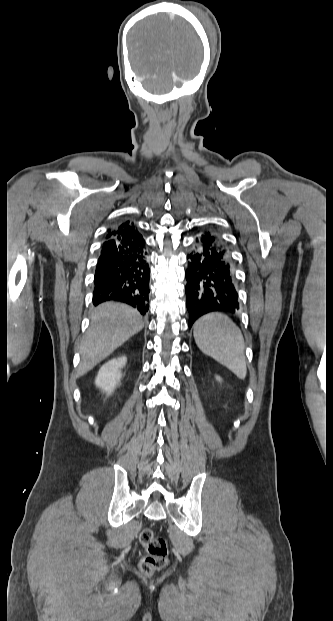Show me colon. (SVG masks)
Returning a JSON list of instances; mask_svg holds the SVG:
<instances>
[{"instance_id":"1","label":"colon","mask_w":333,"mask_h":621,"mask_svg":"<svg viewBox=\"0 0 333 621\" xmlns=\"http://www.w3.org/2000/svg\"><path fill=\"white\" fill-rule=\"evenodd\" d=\"M139 540L146 550V554L139 562V568L145 575H152L162 569L168 558V547L165 539L145 528L140 532Z\"/></svg>"}]
</instances>
